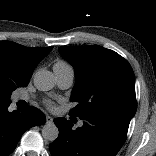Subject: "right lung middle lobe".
<instances>
[{
  "mask_svg": "<svg viewBox=\"0 0 156 156\" xmlns=\"http://www.w3.org/2000/svg\"><path fill=\"white\" fill-rule=\"evenodd\" d=\"M16 88L17 87L12 85L0 86V100L9 101L12 91Z\"/></svg>",
  "mask_w": 156,
  "mask_h": 156,
  "instance_id": "1",
  "label": "right lung middle lobe"
}]
</instances>
